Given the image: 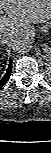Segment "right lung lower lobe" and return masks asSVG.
<instances>
[{
  "label": "right lung lower lobe",
  "instance_id": "obj_1",
  "mask_svg": "<svg viewBox=\"0 0 51 153\" xmlns=\"http://www.w3.org/2000/svg\"><path fill=\"white\" fill-rule=\"evenodd\" d=\"M12 70V61L9 63V67L7 69L6 74L3 76V78L0 79V88L8 81Z\"/></svg>",
  "mask_w": 51,
  "mask_h": 153
}]
</instances>
